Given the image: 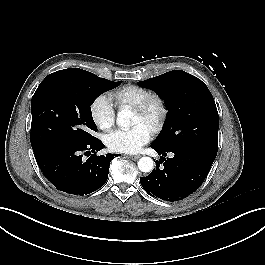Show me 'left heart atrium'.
<instances>
[{
    "label": "left heart atrium",
    "instance_id": "left-heart-atrium-1",
    "mask_svg": "<svg viewBox=\"0 0 265 265\" xmlns=\"http://www.w3.org/2000/svg\"><path fill=\"white\" fill-rule=\"evenodd\" d=\"M151 138V130L144 124H138L131 129L115 130L105 136V144L109 150L132 154L138 152Z\"/></svg>",
    "mask_w": 265,
    "mask_h": 265
}]
</instances>
